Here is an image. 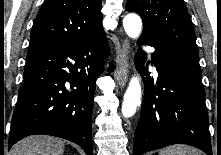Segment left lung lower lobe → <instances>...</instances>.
<instances>
[{
  "label": "left lung lower lobe",
  "instance_id": "0a47b994",
  "mask_svg": "<svg viewBox=\"0 0 221 155\" xmlns=\"http://www.w3.org/2000/svg\"><path fill=\"white\" fill-rule=\"evenodd\" d=\"M140 44L155 48L154 82L143 64L146 54H136V65L146 72V89L134 136V155L170 144L185 143L212 155L205 91L198 53L140 37Z\"/></svg>",
  "mask_w": 221,
  "mask_h": 155
}]
</instances>
